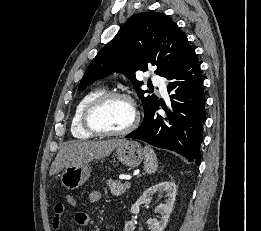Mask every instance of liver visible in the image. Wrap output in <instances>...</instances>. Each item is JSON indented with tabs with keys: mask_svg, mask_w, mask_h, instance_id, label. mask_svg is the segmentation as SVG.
<instances>
[{
	"mask_svg": "<svg viewBox=\"0 0 261 231\" xmlns=\"http://www.w3.org/2000/svg\"><path fill=\"white\" fill-rule=\"evenodd\" d=\"M123 139L104 141H83L65 144L53 161L49 175H55L69 166H80L94 159L108 156L116 147L124 142Z\"/></svg>",
	"mask_w": 261,
	"mask_h": 231,
	"instance_id": "1",
	"label": "liver"
}]
</instances>
